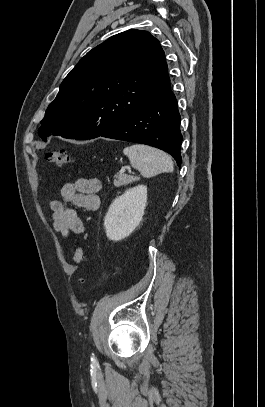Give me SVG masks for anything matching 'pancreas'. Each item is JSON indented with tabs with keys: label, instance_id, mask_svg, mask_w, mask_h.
I'll return each mask as SVG.
<instances>
[{
	"label": "pancreas",
	"instance_id": "1",
	"mask_svg": "<svg viewBox=\"0 0 265 407\" xmlns=\"http://www.w3.org/2000/svg\"><path fill=\"white\" fill-rule=\"evenodd\" d=\"M139 179L140 178L136 177V176H130V175L123 174V173H117L114 176V186L120 187L123 185H128L130 183L139 181Z\"/></svg>",
	"mask_w": 265,
	"mask_h": 407
}]
</instances>
